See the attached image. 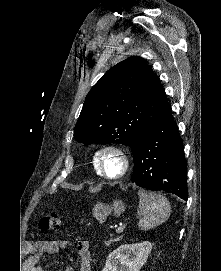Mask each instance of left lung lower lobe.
I'll return each mask as SVG.
<instances>
[{
	"instance_id": "0a47b994",
	"label": "left lung lower lobe",
	"mask_w": 221,
	"mask_h": 271,
	"mask_svg": "<svg viewBox=\"0 0 221 271\" xmlns=\"http://www.w3.org/2000/svg\"><path fill=\"white\" fill-rule=\"evenodd\" d=\"M131 149L134 158L132 182L187 200V162L172 111L146 128Z\"/></svg>"
}]
</instances>
